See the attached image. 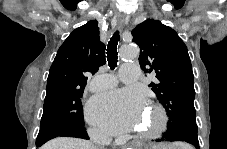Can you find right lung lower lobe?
I'll return each mask as SVG.
<instances>
[{
	"label": "right lung lower lobe",
	"mask_w": 227,
	"mask_h": 149,
	"mask_svg": "<svg viewBox=\"0 0 227 149\" xmlns=\"http://www.w3.org/2000/svg\"><path fill=\"white\" fill-rule=\"evenodd\" d=\"M59 136L89 139L84 126H67L63 128L46 127L40 129L36 139V146L40 147L48 140Z\"/></svg>",
	"instance_id": "right-lung-lower-lobe-1"
}]
</instances>
